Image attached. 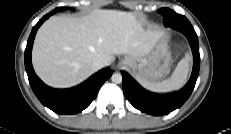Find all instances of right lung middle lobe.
Listing matches in <instances>:
<instances>
[{
    "instance_id": "obj_1",
    "label": "right lung middle lobe",
    "mask_w": 231,
    "mask_h": 134,
    "mask_svg": "<svg viewBox=\"0 0 231 134\" xmlns=\"http://www.w3.org/2000/svg\"><path fill=\"white\" fill-rule=\"evenodd\" d=\"M64 8L60 7V8H56L55 10H53L52 12H56V11H60V10H63Z\"/></svg>"
}]
</instances>
